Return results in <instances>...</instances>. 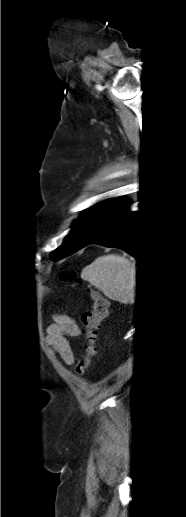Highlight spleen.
Masks as SVG:
<instances>
[{
    "label": "spleen",
    "mask_w": 186,
    "mask_h": 517,
    "mask_svg": "<svg viewBox=\"0 0 186 517\" xmlns=\"http://www.w3.org/2000/svg\"><path fill=\"white\" fill-rule=\"evenodd\" d=\"M82 279L99 289L109 299L133 303L136 296V263L110 254L98 257L83 268Z\"/></svg>",
    "instance_id": "obj_1"
}]
</instances>
